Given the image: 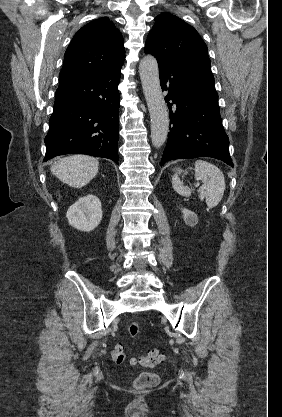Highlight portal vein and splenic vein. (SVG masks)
I'll list each match as a JSON object with an SVG mask.
<instances>
[{
	"label": "portal vein and splenic vein",
	"instance_id": "obj_1",
	"mask_svg": "<svg viewBox=\"0 0 282 417\" xmlns=\"http://www.w3.org/2000/svg\"><path fill=\"white\" fill-rule=\"evenodd\" d=\"M195 186H199V184H195Z\"/></svg>",
	"mask_w": 282,
	"mask_h": 417
}]
</instances>
